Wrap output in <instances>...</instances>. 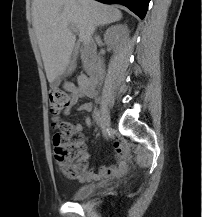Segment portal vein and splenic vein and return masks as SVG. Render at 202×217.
Wrapping results in <instances>:
<instances>
[{"instance_id":"1","label":"portal vein and splenic vein","mask_w":202,"mask_h":217,"mask_svg":"<svg viewBox=\"0 0 202 217\" xmlns=\"http://www.w3.org/2000/svg\"><path fill=\"white\" fill-rule=\"evenodd\" d=\"M70 29L74 32H78V29L75 26H70Z\"/></svg>"}]
</instances>
